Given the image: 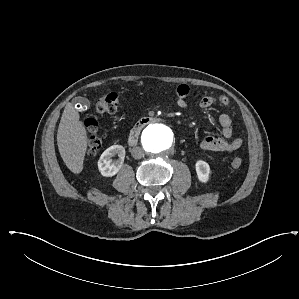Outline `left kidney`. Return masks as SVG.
Returning <instances> with one entry per match:
<instances>
[{"label": "left kidney", "instance_id": "1", "mask_svg": "<svg viewBox=\"0 0 299 299\" xmlns=\"http://www.w3.org/2000/svg\"><path fill=\"white\" fill-rule=\"evenodd\" d=\"M197 177L200 182L206 183L209 180L210 166L203 160H198L195 164Z\"/></svg>", "mask_w": 299, "mask_h": 299}]
</instances>
